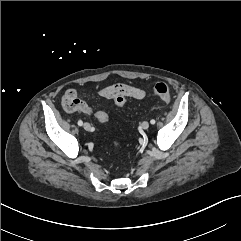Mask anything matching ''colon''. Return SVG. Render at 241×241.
<instances>
[{
	"instance_id": "colon-1",
	"label": "colon",
	"mask_w": 241,
	"mask_h": 241,
	"mask_svg": "<svg viewBox=\"0 0 241 241\" xmlns=\"http://www.w3.org/2000/svg\"><path fill=\"white\" fill-rule=\"evenodd\" d=\"M126 88L123 87H114L110 90V95L113 96V100L116 106L122 107L125 105L127 101V97L125 95ZM154 94L161 99L163 102H169L171 99L170 89L165 83H158L154 87ZM109 116L106 112H101L98 116V120L102 123L107 122Z\"/></svg>"
}]
</instances>
